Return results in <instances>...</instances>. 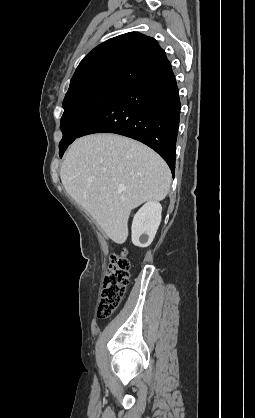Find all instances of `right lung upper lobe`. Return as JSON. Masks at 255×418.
<instances>
[{
	"label": "right lung upper lobe",
	"instance_id": "1",
	"mask_svg": "<svg viewBox=\"0 0 255 418\" xmlns=\"http://www.w3.org/2000/svg\"><path fill=\"white\" fill-rule=\"evenodd\" d=\"M170 67L164 50L154 38L129 32L105 41L84 57L71 79L68 92L76 86L96 81L128 86Z\"/></svg>",
	"mask_w": 255,
	"mask_h": 418
}]
</instances>
